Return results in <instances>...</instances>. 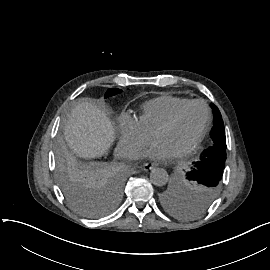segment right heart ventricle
<instances>
[{
	"label": "right heart ventricle",
	"instance_id": "1",
	"mask_svg": "<svg viewBox=\"0 0 270 270\" xmlns=\"http://www.w3.org/2000/svg\"><path fill=\"white\" fill-rule=\"evenodd\" d=\"M189 101L170 95L156 97L142 105L135 120L144 132L151 135L158 126Z\"/></svg>",
	"mask_w": 270,
	"mask_h": 270
}]
</instances>
